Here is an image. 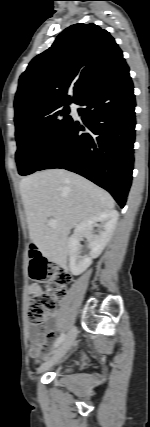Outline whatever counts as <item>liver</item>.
<instances>
[{"label":"liver","instance_id":"1","mask_svg":"<svg viewBox=\"0 0 150 427\" xmlns=\"http://www.w3.org/2000/svg\"><path fill=\"white\" fill-rule=\"evenodd\" d=\"M29 236L48 259L65 265L68 236L80 222L113 210L111 195L89 180L65 169L36 172L20 181ZM58 222L48 226V218Z\"/></svg>","mask_w":150,"mask_h":427}]
</instances>
